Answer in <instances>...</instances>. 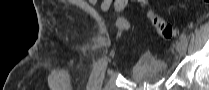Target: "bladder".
<instances>
[{
    "label": "bladder",
    "mask_w": 209,
    "mask_h": 90,
    "mask_svg": "<svg viewBox=\"0 0 209 90\" xmlns=\"http://www.w3.org/2000/svg\"><path fill=\"white\" fill-rule=\"evenodd\" d=\"M166 70V62L143 56L131 68L130 77L135 81L152 82L164 78Z\"/></svg>",
    "instance_id": "1"
}]
</instances>
